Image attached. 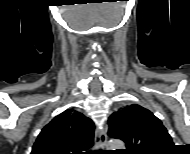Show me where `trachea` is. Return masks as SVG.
<instances>
[{"label": "trachea", "mask_w": 190, "mask_h": 154, "mask_svg": "<svg viewBox=\"0 0 190 154\" xmlns=\"http://www.w3.org/2000/svg\"><path fill=\"white\" fill-rule=\"evenodd\" d=\"M94 154H100V153H102L103 151L101 150V149H99V150H93L92 151Z\"/></svg>", "instance_id": "trachea-1"}]
</instances>
